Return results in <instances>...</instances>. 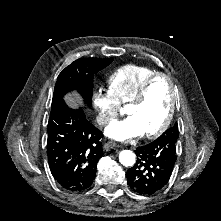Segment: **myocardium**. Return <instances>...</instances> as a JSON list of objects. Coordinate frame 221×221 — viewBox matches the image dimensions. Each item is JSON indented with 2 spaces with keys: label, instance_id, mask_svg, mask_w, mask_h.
Instances as JSON below:
<instances>
[{
  "label": "myocardium",
  "instance_id": "f54148a6",
  "mask_svg": "<svg viewBox=\"0 0 221 221\" xmlns=\"http://www.w3.org/2000/svg\"><path fill=\"white\" fill-rule=\"evenodd\" d=\"M159 79H165L169 85L170 104H169V109H168L167 115H166L164 121L162 122V124L154 131L144 134V137H146L148 139H154V138L160 136L161 134H163L172 121V118H173V115L175 112V108H176V99H177L176 98V91H175V87H174L172 78L168 74L160 73V72L151 75L143 82L141 87L138 89L136 94L132 97V99L128 103V105H132V106L141 105L143 103V101L145 100L147 93H148L150 87L152 86V84Z\"/></svg>",
  "mask_w": 221,
  "mask_h": 221
}]
</instances>
